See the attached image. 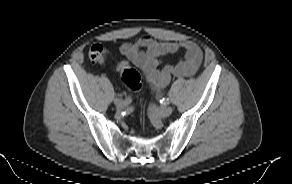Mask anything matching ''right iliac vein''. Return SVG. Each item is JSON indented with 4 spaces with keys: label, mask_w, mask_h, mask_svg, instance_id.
<instances>
[{
    "label": "right iliac vein",
    "mask_w": 292,
    "mask_h": 184,
    "mask_svg": "<svg viewBox=\"0 0 292 184\" xmlns=\"http://www.w3.org/2000/svg\"><path fill=\"white\" fill-rule=\"evenodd\" d=\"M114 104L119 109H122V108L127 106V103L124 100H120V98L119 99L115 98L114 99Z\"/></svg>",
    "instance_id": "63e3f726"
}]
</instances>
